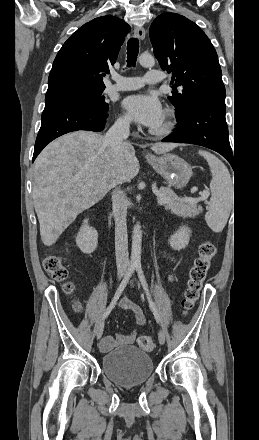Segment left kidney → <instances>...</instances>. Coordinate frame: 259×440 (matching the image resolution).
<instances>
[{
    "instance_id": "5707ae66",
    "label": "left kidney",
    "mask_w": 259,
    "mask_h": 440,
    "mask_svg": "<svg viewBox=\"0 0 259 440\" xmlns=\"http://www.w3.org/2000/svg\"><path fill=\"white\" fill-rule=\"evenodd\" d=\"M191 230L187 226L180 227L169 239V244L174 250L184 249L190 240Z\"/></svg>"
}]
</instances>
